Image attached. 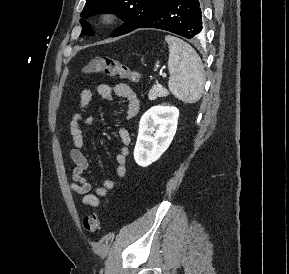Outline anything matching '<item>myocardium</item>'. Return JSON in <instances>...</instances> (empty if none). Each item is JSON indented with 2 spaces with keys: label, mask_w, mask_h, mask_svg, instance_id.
<instances>
[{
  "label": "myocardium",
  "mask_w": 289,
  "mask_h": 274,
  "mask_svg": "<svg viewBox=\"0 0 289 274\" xmlns=\"http://www.w3.org/2000/svg\"><path fill=\"white\" fill-rule=\"evenodd\" d=\"M117 14L114 11L104 10L97 14L96 21L99 25L108 26L114 23Z\"/></svg>",
  "instance_id": "1"
}]
</instances>
